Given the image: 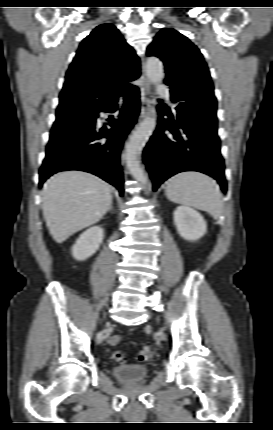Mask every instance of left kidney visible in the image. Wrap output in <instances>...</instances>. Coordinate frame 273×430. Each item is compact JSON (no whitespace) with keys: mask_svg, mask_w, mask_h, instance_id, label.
Instances as JSON below:
<instances>
[{"mask_svg":"<svg viewBox=\"0 0 273 430\" xmlns=\"http://www.w3.org/2000/svg\"><path fill=\"white\" fill-rule=\"evenodd\" d=\"M174 224L179 235L188 241L200 239L207 230V223L200 212L188 206H179L174 212Z\"/></svg>","mask_w":273,"mask_h":430,"instance_id":"obj_1","label":"left kidney"}]
</instances>
